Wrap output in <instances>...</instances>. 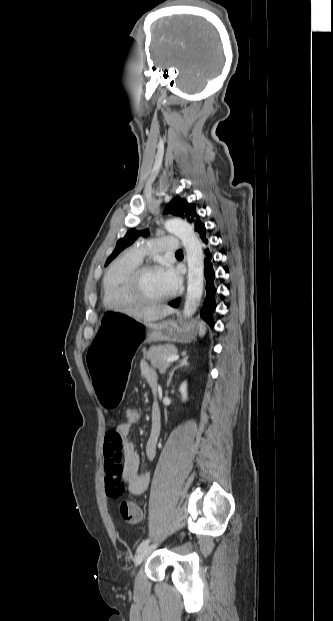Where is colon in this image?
Segmentation results:
<instances>
[{
	"instance_id": "obj_1",
	"label": "colon",
	"mask_w": 333,
	"mask_h": 621,
	"mask_svg": "<svg viewBox=\"0 0 333 621\" xmlns=\"http://www.w3.org/2000/svg\"><path fill=\"white\" fill-rule=\"evenodd\" d=\"M126 422L135 425L140 420V412L134 406H128L125 409ZM120 513L122 518L133 525L139 524L142 521L143 514L137 504L131 501H124L120 505Z\"/></svg>"
}]
</instances>
